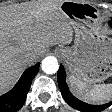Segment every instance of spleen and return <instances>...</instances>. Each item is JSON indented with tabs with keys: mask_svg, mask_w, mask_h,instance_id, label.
Returning a JSON list of instances; mask_svg holds the SVG:
<instances>
[{
	"mask_svg": "<svg viewBox=\"0 0 112 112\" xmlns=\"http://www.w3.org/2000/svg\"><path fill=\"white\" fill-rule=\"evenodd\" d=\"M71 82L80 96L93 103L109 100L112 97V84H89L84 80L72 77Z\"/></svg>",
	"mask_w": 112,
	"mask_h": 112,
	"instance_id": "3e777b00",
	"label": "spleen"
}]
</instances>
